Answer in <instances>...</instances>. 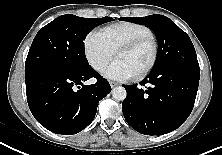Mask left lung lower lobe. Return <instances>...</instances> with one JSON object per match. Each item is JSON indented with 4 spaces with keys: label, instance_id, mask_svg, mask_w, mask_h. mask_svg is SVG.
I'll use <instances>...</instances> for the list:
<instances>
[{
    "label": "left lung lower lobe",
    "instance_id": "1",
    "mask_svg": "<svg viewBox=\"0 0 222 155\" xmlns=\"http://www.w3.org/2000/svg\"><path fill=\"white\" fill-rule=\"evenodd\" d=\"M200 70L171 65L151 71L140 85H123L127 97L122 110L127 123L139 133L162 135L181 126L190 115L199 85Z\"/></svg>",
    "mask_w": 222,
    "mask_h": 155
}]
</instances>
